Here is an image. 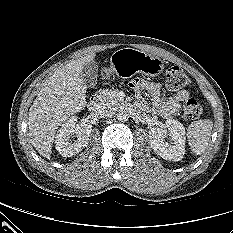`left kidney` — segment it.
<instances>
[{
    "mask_svg": "<svg viewBox=\"0 0 233 233\" xmlns=\"http://www.w3.org/2000/svg\"><path fill=\"white\" fill-rule=\"evenodd\" d=\"M166 128L168 131L158 127H153L149 131L151 147L163 159L179 161L185 154V128L182 123L174 119L166 121ZM168 135L171 139L166 141Z\"/></svg>",
    "mask_w": 233,
    "mask_h": 233,
    "instance_id": "obj_1",
    "label": "left kidney"
}]
</instances>
